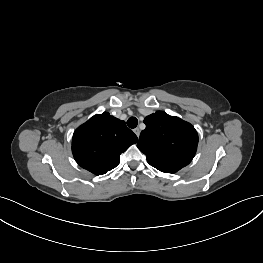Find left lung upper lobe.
Returning <instances> with one entry per match:
<instances>
[{
	"instance_id": "5c2ea615",
	"label": "left lung upper lobe",
	"mask_w": 263,
	"mask_h": 263,
	"mask_svg": "<svg viewBox=\"0 0 263 263\" xmlns=\"http://www.w3.org/2000/svg\"><path fill=\"white\" fill-rule=\"evenodd\" d=\"M145 130L137 147L148 163L165 173H175L193 159L198 145L195 128L182 119L158 111L144 119Z\"/></svg>"
}]
</instances>
